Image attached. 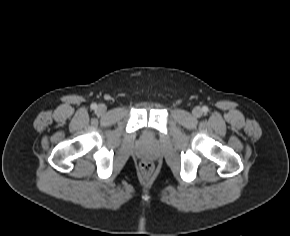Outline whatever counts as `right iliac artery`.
<instances>
[{
	"label": "right iliac artery",
	"mask_w": 290,
	"mask_h": 236,
	"mask_svg": "<svg viewBox=\"0 0 290 236\" xmlns=\"http://www.w3.org/2000/svg\"><path fill=\"white\" fill-rule=\"evenodd\" d=\"M97 105L95 103L91 104V109H96Z\"/></svg>",
	"instance_id": "1"
}]
</instances>
